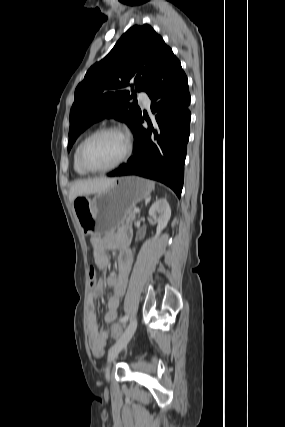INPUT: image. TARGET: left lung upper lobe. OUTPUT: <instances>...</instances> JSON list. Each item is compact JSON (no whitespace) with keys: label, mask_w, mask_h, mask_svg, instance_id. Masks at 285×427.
<instances>
[{"label":"left lung upper lobe","mask_w":285,"mask_h":427,"mask_svg":"<svg viewBox=\"0 0 285 427\" xmlns=\"http://www.w3.org/2000/svg\"><path fill=\"white\" fill-rule=\"evenodd\" d=\"M171 51L150 25L128 29L75 90L68 151L87 127L106 117L123 121L133 130L142 113L130 100L136 91H147ZM130 83L134 93L125 89Z\"/></svg>","instance_id":"obj_1"}]
</instances>
